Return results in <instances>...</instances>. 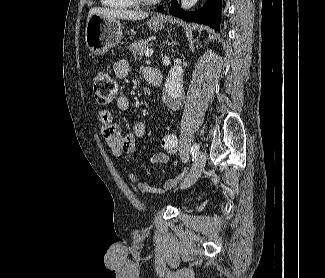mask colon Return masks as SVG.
<instances>
[{
  "instance_id": "colon-1",
  "label": "colon",
  "mask_w": 325,
  "mask_h": 278,
  "mask_svg": "<svg viewBox=\"0 0 325 278\" xmlns=\"http://www.w3.org/2000/svg\"><path fill=\"white\" fill-rule=\"evenodd\" d=\"M118 93L115 80L106 72H99L93 82V94L95 100L102 105L111 103ZM162 148L169 154L177 150V139L173 134L165 135L161 140Z\"/></svg>"
}]
</instances>
